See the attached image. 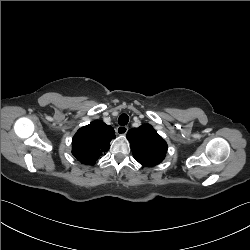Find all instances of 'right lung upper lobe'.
Returning <instances> with one entry per match:
<instances>
[{"label": "right lung upper lobe", "mask_w": 250, "mask_h": 250, "mask_svg": "<svg viewBox=\"0 0 250 250\" xmlns=\"http://www.w3.org/2000/svg\"><path fill=\"white\" fill-rule=\"evenodd\" d=\"M114 129L102 121H93L80 128L72 140V153L83 164L94 165L110 148Z\"/></svg>", "instance_id": "1"}]
</instances>
